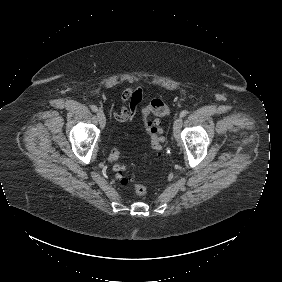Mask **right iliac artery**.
I'll return each instance as SVG.
<instances>
[{
	"label": "right iliac artery",
	"mask_w": 282,
	"mask_h": 282,
	"mask_svg": "<svg viewBox=\"0 0 282 282\" xmlns=\"http://www.w3.org/2000/svg\"><path fill=\"white\" fill-rule=\"evenodd\" d=\"M91 109H92V111H94V112H97V111H98V108H97L95 105H92V106H91Z\"/></svg>",
	"instance_id": "1"
}]
</instances>
